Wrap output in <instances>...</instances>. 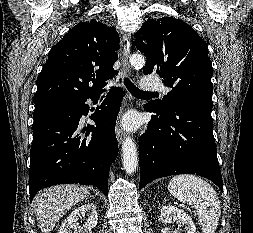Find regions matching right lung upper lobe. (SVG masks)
<instances>
[{"instance_id":"obj_1","label":"right lung upper lobe","mask_w":253,"mask_h":233,"mask_svg":"<svg viewBox=\"0 0 253 233\" xmlns=\"http://www.w3.org/2000/svg\"><path fill=\"white\" fill-rule=\"evenodd\" d=\"M119 42L116 29L106 23L91 20L74 26L50 50L37 78L34 104L100 92L117 75L113 65Z\"/></svg>"}]
</instances>
